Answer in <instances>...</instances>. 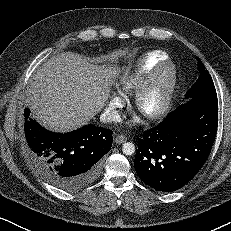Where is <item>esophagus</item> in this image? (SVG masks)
Instances as JSON below:
<instances>
[{"label":"esophagus","mask_w":231,"mask_h":231,"mask_svg":"<svg viewBox=\"0 0 231 231\" xmlns=\"http://www.w3.org/2000/svg\"><path fill=\"white\" fill-rule=\"evenodd\" d=\"M126 140H127V138L124 135H117L115 138V142L117 144H122V143L126 142Z\"/></svg>","instance_id":"esophagus-1"}]
</instances>
